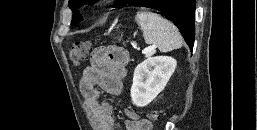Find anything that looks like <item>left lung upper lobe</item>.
Wrapping results in <instances>:
<instances>
[{"label": "left lung upper lobe", "mask_w": 257, "mask_h": 130, "mask_svg": "<svg viewBox=\"0 0 257 130\" xmlns=\"http://www.w3.org/2000/svg\"><path fill=\"white\" fill-rule=\"evenodd\" d=\"M88 2L89 0H69V7L74 13L72 17V25H76L82 20V16L79 14L77 9ZM90 2H93V0H91ZM136 2L137 0H117L116 5L121 6L125 4H136Z\"/></svg>", "instance_id": "obj_1"}]
</instances>
